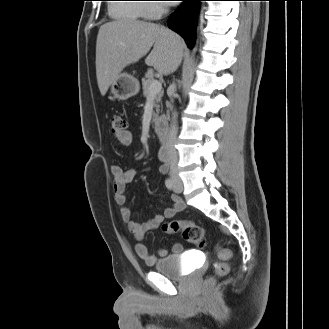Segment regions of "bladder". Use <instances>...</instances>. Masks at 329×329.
<instances>
[{
    "label": "bladder",
    "instance_id": "bladder-1",
    "mask_svg": "<svg viewBox=\"0 0 329 329\" xmlns=\"http://www.w3.org/2000/svg\"><path fill=\"white\" fill-rule=\"evenodd\" d=\"M153 268L156 272L170 279H181L186 275L181 255L167 254L158 258Z\"/></svg>",
    "mask_w": 329,
    "mask_h": 329
}]
</instances>
